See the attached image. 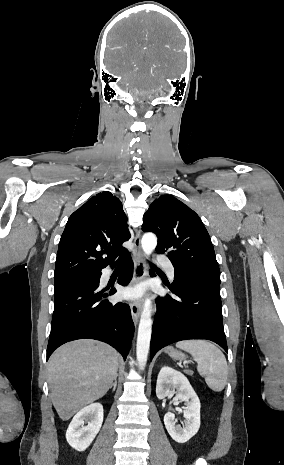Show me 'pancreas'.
I'll return each instance as SVG.
<instances>
[{
  "instance_id": "1",
  "label": "pancreas",
  "mask_w": 284,
  "mask_h": 465,
  "mask_svg": "<svg viewBox=\"0 0 284 465\" xmlns=\"http://www.w3.org/2000/svg\"><path fill=\"white\" fill-rule=\"evenodd\" d=\"M186 375H193V371H185Z\"/></svg>"
}]
</instances>
